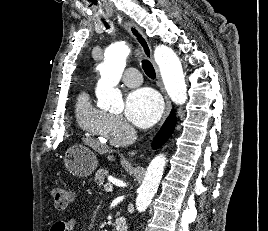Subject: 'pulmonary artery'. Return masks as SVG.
<instances>
[{"instance_id": "1", "label": "pulmonary artery", "mask_w": 268, "mask_h": 231, "mask_svg": "<svg viewBox=\"0 0 268 231\" xmlns=\"http://www.w3.org/2000/svg\"><path fill=\"white\" fill-rule=\"evenodd\" d=\"M122 81L130 87L138 86L141 83V74L135 67H128L122 76Z\"/></svg>"}]
</instances>
